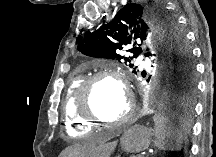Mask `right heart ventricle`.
Wrapping results in <instances>:
<instances>
[{
    "label": "right heart ventricle",
    "instance_id": "right-heart-ventricle-1",
    "mask_svg": "<svg viewBox=\"0 0 216 157\" xmlns=\"http://www.w3.org/2000/svg\"><path fill=\"white\" fill-rule=\"evenodd\" d=\"M83 80L82 75L72 76L64 91L61 102L64 130L72 137L88 135L93 130L92 124L82 119L76 109V95Z\"/></svg>",
    "mask_w": 216,
    "mask_h": 157
}]
</instances>
